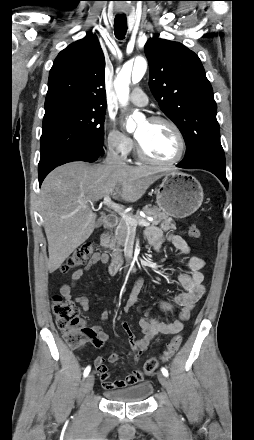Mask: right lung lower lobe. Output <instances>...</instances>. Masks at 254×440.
<instances>
[{
  "mask_svg": "<svg viewBox=\"0 0 254 440\" xmlns=\"http://www.w3.org/2000/svg\"><path fill=\"white\" fill-rule=\"evenodd\" d=\"M102 155V154H101ZM101 155H93V156H82V155H77V156H73L70 158L65 159L64 161L60 162L59 164L49 168L44 174L38 176L39 177V185H41L42 181L44 180V178L46 177V175L52 171L54 168H56L57 166H60L62 164H65L67 162H71V161H86V162H94L96 160H98L100 158Z\"/></svg>",
  "mask_w": 254,
  "mask_h": 440,
  "instance_id": "right-lung-lower-lobe-1",
  "label": "right lung lower lobe"
}]
</instances>
